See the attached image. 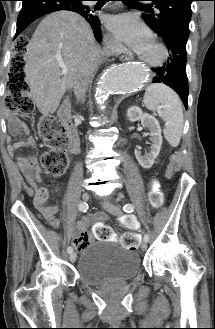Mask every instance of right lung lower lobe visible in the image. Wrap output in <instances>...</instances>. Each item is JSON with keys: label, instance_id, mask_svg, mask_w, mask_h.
I'll list each match as a JSON object with an SVG mask.
<instances>
[{"label": "right lung lower lobe", "instance_id": "right-lung-lower-lobe-1", "mask_svg": "<svg viewBox=\"0 0 215 329\" xmlns=\"http://www.w3.org/2000/svg\"><path fill=\"white\" fill-rule=\"evenodd\" d=\"M22 9L18 16L15 38L34 20L39 17L60 10H68L80 14L91 25L96 39L101 42L100 21L92 14L89 6L83 0H22ZM15 68L21 69V62L13 61ZM14 68V70H15ZM18 70V71H19Z\"/></svg>", "mask_w": 215, "mask_h": 329}]
</instances>
